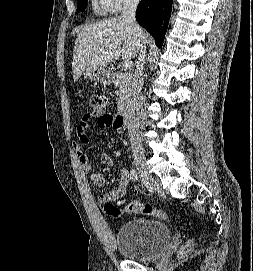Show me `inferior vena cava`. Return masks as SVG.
<instances>
[{"label":"inferior vena cava","instance_id":"obj_1","mask_svg":"<svg viewBox=\"0 0 253 271\" xmlns=\"http://www.w3.org/2000/svg\"><path fill=\"white\" fill-rule=\"evenodd\" d=\"M139 0H125L121 13L122 20L129 23L139 41L138 43V56L136 60L135 79L132 88V98L127 107L128 118V135L130 138L131 149L134 153H138L142 150L141 138H140V124L142 119V86H143V67L145 58V46L143 44V30L137 24L135 19V13Z\"/></svg>","mask_w":253,"mask_h":271}]
</instances>
